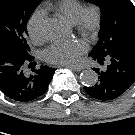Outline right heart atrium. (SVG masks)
Listing matches in <instances>:
<instances>
[{
    "instance_id": "right-heart-atrium-1",
    "label": "right heart atrium",
    "mask_w": 135,
    "mask_h": 135,
    "mask_svg": "<svg viewBox=\"0 0 135 135\" xmlns=\"http://www.w3.org/2000/svg\"><path fill=\"white\" fill-rule=\"evenodd\" d=\"M45 18V12L42 9H36L30 15L27 23V30L30 38L34 42H38L43 37V22Z\"/></svg>"
}]
</instances>
